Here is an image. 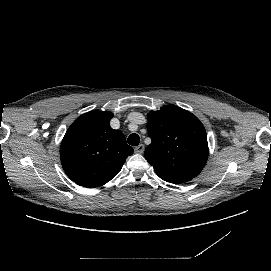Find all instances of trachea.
<instances>
[{
  "instance_id": "3493384b",
  "label": "trachea",
  "mask_w": 271,
  "mask_h": 271,
  "mask_svg": "<svg viewBox=\"0 0 271 271\" xmlns=\"http://www.w3.org/2000/svg\"><path fill=\"white\" fill-rule=\"evenodd\" d=\"M128 144L132 145V146H137L140 142V137L138 134H131L129 137H128Z\"/></svg>"
}]
</instances>
